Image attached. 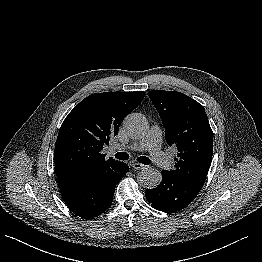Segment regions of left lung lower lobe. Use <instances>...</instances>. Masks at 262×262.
<instances>
[{
	"mask_svg": "<svg viewBox=\"0 0 262 262\" xmlns=\"http://www.w3.org/2000/svg\"><path fill=\"white\" fill-rule=\"evenodd\" d=\"M201 186L162 171V181L156 188L145 192L152 206L163 212H175L188 206L198 195Z\"/></svg>",
	"mask_w": 262,
	"mask_h": 262,
	"instance_id": "left-lung-lower-lobe-1",
	"label": "left lung lower lobe"
}]
</instances>
